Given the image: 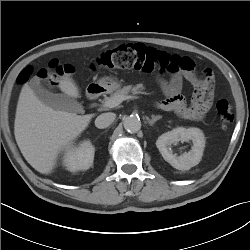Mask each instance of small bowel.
<instances>
[{
	"label": "small bowel",
	"mask_w": 250,
	"mask_h": 250,
	"mask_svg": "<svg viewBox=\"0 0 250 250\" xmlns=\"http://www.w3.org/2000/svg\"><path fill=\"white\" fill-rule=\"evenodd\" d=\"M191 70L187 71L184 74V78H186L191 84L195 85V83L199 79V74L195 71L194 65L191 62ZM157 82L166 96V99L161 101L158 106L159 108L172 111L180 118L189 120V121H202L210 106V100L207 98L200 102H192L189 106L186 104L184 98L181 95L183 76L178 74L172 76L169 80H165L162 78H157Z\"/></svg>",
	"instance_id": "obj_1"
}]
</instances>
